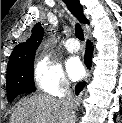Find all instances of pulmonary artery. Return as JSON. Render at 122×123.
Masks as SVG:
<instances>
[{"mask_svg":"<svg viewBox=\"0 0 122 123\" xmlns=\"http://www.w3.org/2000/svg\"><path fill=\"white\" fill-rule=\"evenodd\" d=\"M66 49L71 53H76L80 49L79 42L75 38H70L66 42Z\"/></svg>","mask_w":122,"mask_h":123,"instance_id":"e3ab8cb5","label":"pulmonary artery"}]
</instances>
